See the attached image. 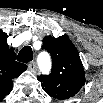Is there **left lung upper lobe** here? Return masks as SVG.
Segmentation results:
<instances>
[{
  "instance_id": "1",
  "label": "left lung upper lobe",
  "mask_w": 103,
  "mask_h": 103,
  "mask_svg": "<svg viewBox=\"0 0 103 103\" xmlns=\"http://www.w3.org/2000/svg\"><path fill=\"white\" fill-rule=\"evenodd\" d=\"M42 48L52 57L51 74L38 77L42 88L60 100L73 97L85 84L84 69L77 49L67 35L58 38L46 36Z\"/></svg>"
}]
</instances>
